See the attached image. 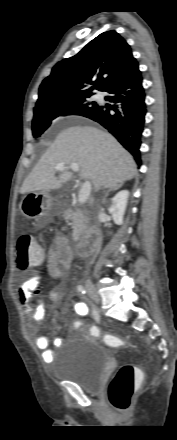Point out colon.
<instances>
[{
  "mask_svg": "<svg viewBox=\"0 0 177 440\" xmlns=\"http://www.w3.org/2000/svg\"><path fill=\"white\" fill-rule=\"evenodd\" d=\"M45 260V252L30 234L22 235L16 243L15 266L18 271H26L31 267L41 264ZM80 322H75L79 328ZM90 333L94 337H102L104 341L113 347L126 345V341L114 334H103L96 326L90 327ZM140 383V376L136 366L125 364L121 366L109 383L107 398L116 409H126L131 403L132 395Z\"/></svg>",
  "mask_w": 177,
  "mask_h": 440,
  "instance_id": "1",
  "label": "colon"
}]
</instances>
